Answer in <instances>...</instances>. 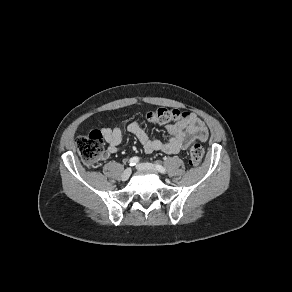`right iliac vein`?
Instances as JSON below:
<instances>
[{"mask_svg": "<svg viewBox=\"0 0 292 292\" xmlns=\"http://www.w3.org/2000/svg\"><path fill=\"white\" fill-rule=\"evenodd\" d=\"M130 175H131V169H130V168H127V169L122 173V175H121V180H122V181H126V180H128L129 177H130Z\"/></svg>", "mask_w": 292, "mask_h": 292, "instance_id": "1", "label": "right iliac vein"}]
</instances>
